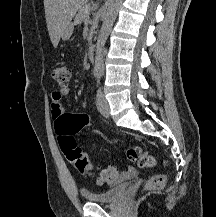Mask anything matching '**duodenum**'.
<instances>
[{"mask_svg":"<svg viewBox=\"0 0 216 217\" xmlns=\"http://www.w3.org/2000/svg\"><path fill=\"white\" fill-rule=\"evenodd\" d=\"M88 57L91 62L95 60V45L93 43L88 46Z\"/></svg>","mask_w":216,"mask_h":217,"instance_id":"duodenum-1","label":"duodenum"}]
</instances>
